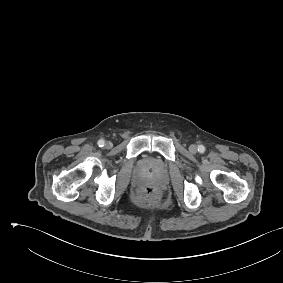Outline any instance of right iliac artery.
<instances>
[{
    "label": "right iliac artery",
    "instance_id": "obj_1",
    "mask_svg": "<svg viewBox=\"0 0 283 283\" xmlns=\"http://www.w3.org/2000/svg\"><path fill=\"white\" fill-rule=\"evenodd\" d=\"M104 144H105V141H104V140L100 139V140L98 141V146H99V147H103Z\"/></svg>",
    "mask_w": 283,
    "mask_h": 283
}]
</instances>
